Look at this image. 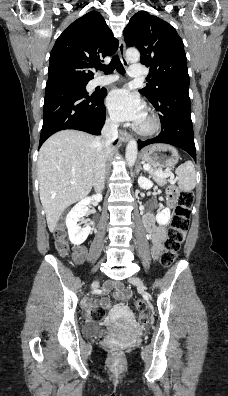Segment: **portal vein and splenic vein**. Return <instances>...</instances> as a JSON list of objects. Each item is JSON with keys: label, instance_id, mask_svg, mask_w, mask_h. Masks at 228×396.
Returning a JSON list of instances; mask_svg holds the SVG:
<instances>
[{"label": "portal vein and splenic vein", "instance_id": "1", "mask_svg": "<svg viewBox=\"0 0 228 396\" xmlns=\"http://www.w3.org/2000/svg\"><path fill=\"white\" fill-rule=\"evenodd\" d=\"M143 168H144L145 170H150V169H151V167H150L149 165H144ZM158 175H160V176H166V177H168V176H173V174H172L170 171H168V170H166V171H159V172H158Z\"/></svg>", "mask_w": 228, "mask_h": 396}]
</instances>
